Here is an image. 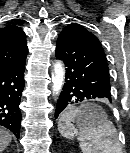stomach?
I'll use <instances>...</instances> for the list:
<instances>
[{"mask_svg": "<svg viewBox=\"0 0 130 153\" xmlns=\"http://www.w3.org/2000/svg\"><path fill=\"white\" fill-rule=\"evenodd\" d=\"M80 108L81 113L74 121L79 128L85 125H96L107 119L105 112L97 105L85 104Z\"/></svg>", "mask_w": 130, "mask_h": 153, "instance_id": "1", "label": "stomach"}]
</instances>
